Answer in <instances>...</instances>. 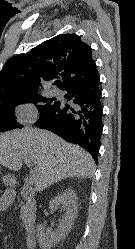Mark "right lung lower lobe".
<instances>
[{
  "label": "right lung lower lobe",
  "mask_w": 135,
  "mask_h": 249,
  "mask_svg": "<svg viewBox=\"0 0 135 249\" xmlns=\"http://www.w3.org/2000/svg\"><path fill=\"white\" fill-rule=\"evenodd\" d=\"M100 76L88 81L72 84L65 90V98L74 106L56 101L54 106L43 113L35 125L78 144L87 150L97 162L103 124Z\"/></svg>",
  "instance_id": "98d812e1"
}]
</instances>
